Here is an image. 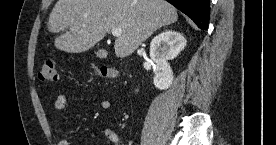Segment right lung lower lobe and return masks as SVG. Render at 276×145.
I'll return each mask as SVG.
<instances>
[{
  "label": "right lung lower lobe",
  "mask_w": 276,
  "mask_h": 145,
  "mask_svg": "<svg viewBox=\"0 0 276 145\" xmlns=\"http://www.w3.org/2000/svg\"><path fill=\"white\" fill-rule=\"evenodd\" d=\"M177 9L189 16L202 30L207 29L209 23V0H166Z\"/></svg>",
  "instance_id": "1"
}]
</instances>
